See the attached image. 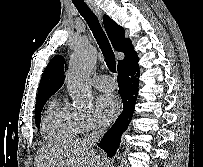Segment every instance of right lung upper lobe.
<instances>
[{"label":"right lung upper lobe","instance_id":"obj_1","mask_svg":"<svg viewBox=\"0 0 203 167\" xmlns=\"http://www.w3.org/2000/svg\"><path fill=\"white\" fill-rule=\"evenodd\" d=\"M103 23L107 35L115 50L125 54L123 60L118 61V70L134 64L138 57L130 39L124 37V28L114 22L109 16H103ZM64 81V58L55 56L47 65L40 80L36 103L50 98L62 85Z\"/></svg>","mask_w":203,"mask_h":167}]
</instances>
